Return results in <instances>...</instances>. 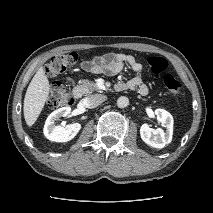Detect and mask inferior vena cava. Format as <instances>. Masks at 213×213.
Instances as JSON below:
<instances>
[{
	"label": "inferior vena cava",
	"instance_id": "obj_1",
	"mask_svg": "<svg viewBox=\"0 0 213 213\" xmlns=\"http://www.w3.org/2000/svg\"><path fill=\"white\" fill-rule=\"evenodd\" d=\"M106 99H107V97L105 95H102V94L90 95L89 97H87L85 99L86 106L88 108H95L98 105H100L101 103H103Z\"/></svg>",
	"mask_w": 213,
	"mask_h": 213
}]
</instances>
